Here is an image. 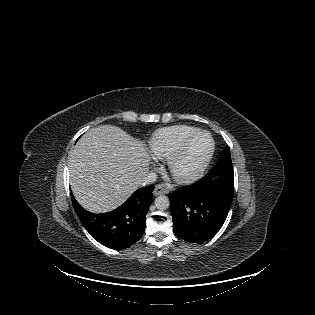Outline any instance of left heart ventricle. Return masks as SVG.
Wrapping results in <instances>:
<instances>
[{
  "label": "left heart ventricle",
  "instance_id": "1",
  "mask_svg": "<svg viewBox=\"0 0 315 315\" xmlns=\"http://www.w3.org/2000/svg\"><path fill=\"white\" fill-rule=\"evenodd\" d=\"M210 147L209 138L199 135L190 143L185 155L178 163L180 171H189L197 167L206 156Z\"/></svg>",
  "mask_w": 315,
  "mask_h": 315
}]
</instances>
